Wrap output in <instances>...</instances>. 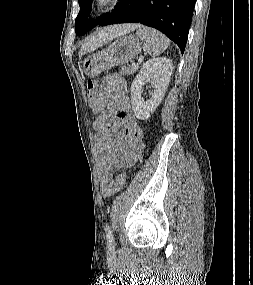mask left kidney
<instances>
[{
  "label": "left kidney",
  "mask_w": 253,
  "mask_h": 285,
  "mask_svg": "<svg viewBox=\"0 0 253 285\" xmlns=\"http://www.w3.org/2000/svg\"><path fill=\"white\" fill-rule=\"evenodd\" d=\"M172 60L166 57L147 61L131 85V103L134 114L139 120L148 119L161 103L172 75ZM150 82L154 88L151 98L144 100L142 90Z\"/></svg>",
  "instance_id": "5707ae66"
}]
</instances>
